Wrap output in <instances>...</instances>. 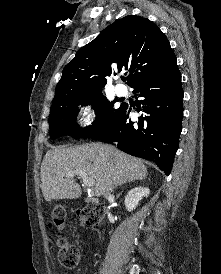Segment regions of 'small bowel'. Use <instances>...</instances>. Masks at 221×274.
Returning <instances> with one entry per match:
<instances>
[{
    "label": "small bowel",
    "instance_id": "small-bowel-1",
    "mask_svg": "<svg viewBox=\"0 0 221 274\" xmlns=\"http://www.w3.org/2000/svg\"><path fill=\"white\" fill-rule=\"evenodd\" d=\"M48 227H49V228H52V227H53V225H52L51 222L48 223Z\"/></svg>",
    "mask_w": 221,
    "mask_h": 274
}]
</instances>
